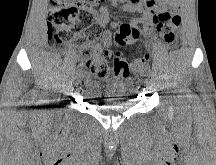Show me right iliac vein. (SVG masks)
I'll return each mask as SVG.
<instances>
[{"mask_svg":"<svg viewBox=\"0 0 216 165\" xmlns=\"http://www.w3.org/2000/svg\"><path fill=\"white\" fill-rule=\"evenodd\" d=\"M80 75H81V74L75 75V80H74V81H75L76 83L80 80Z\"/></svg>","mask_w":216,"mask_h":165,"instance_id":"obj_1","label":"right iliac vein"}]
</instances>
